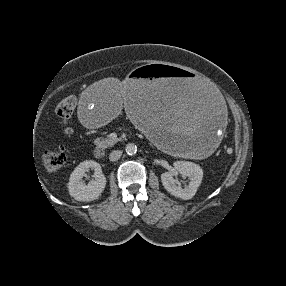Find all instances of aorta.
Here are the masks:
<instances>
[{
	"mask_svg": "<svg viewBox=\"0 0 286 286\" xmlns=\"http://www.w3.org/2000/svg\"><path fill=\"white\" fill-rule=\"evenodd\" d=\"M125 151L128 155H134L137 152V146L134 143H129L126 145Z\"/></svg>",
	"mask_w": 286,
	"mask_h": 286,
	"instance_id": "obj_1",
	"label": "aorta"
}]
</instances>
